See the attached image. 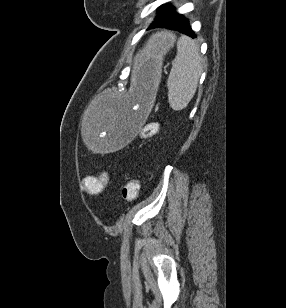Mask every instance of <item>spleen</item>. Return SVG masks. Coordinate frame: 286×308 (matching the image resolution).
Returning a JSON list of instances; mask_svg holds the SVG:
<instances>
[{
	"label": "spleen",
	"mask_w": 286,
	"mask_h": 308,
	"mask_svg": "<svg viewBox=\"0 0 286 308\" xmlns=\"http://www.w3.org/2000/svg\"><path fill=\"white\" fill-rule=\"evenodd\" d=\"M202 73V56L199 46L189 37L177 42V54L167 80L168 101L174 111L187 107L193 98Z\"/></svg>",
	"instance_id": "obj_1"
}]
</instances>
